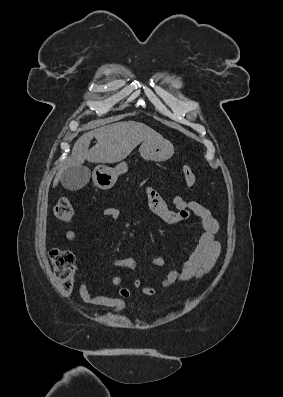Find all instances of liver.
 <instances>
[{
    "instance_id": "1",
    "label": "liver",
    "mask_w": 283,
    "mask_h": 397,
    "mask_svg": "<svg viewBox=\"0 0 283 397\" xmlns=\"http://www.w3.org/2000/svg\"><path fill=\"white\" fill-rule=\"evenodd\" d=\"M97 143L89 149L90 142ZM162 136L149 126L135 121L116 122L83 134L74 144L71 155L56 175L53 187L62 173L70 167L91 163H115L125 159L134 148L146 140H159Z\"/></svg>"
}]
</instances>
